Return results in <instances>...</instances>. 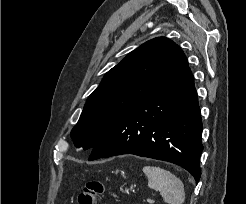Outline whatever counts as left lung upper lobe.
<instances>
[{
  "instance_id": "left-lung-upper-lobe-1",
  "label": "left lung upper lobe",
  "mask_w": 246,
  "mask_h": 204,
  "mask_svg": "<svg viewBox=\"0 0 246 204\" xmlns=\"http://www.w3.org/2000/svg\"><path fill=\"white\" fill-rule=\"evenodd\" d=\"M187 67L183 51L165 37L129 53L88 97L71 131L75 146L92 149L123 116Z\"/></svg>"
}]
</instances>
